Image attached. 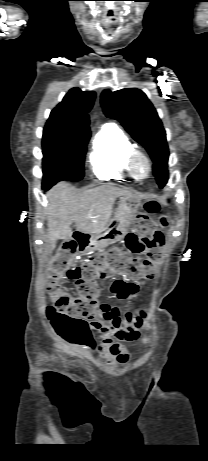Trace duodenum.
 Wrapping results in <instances>:
<instances>
[{
	"label": "duodenum",
	"instance_id": "410a0bca",
	"mask_svg": "<svg viewBox=\"0 0 208 461\" xmlns=\"http://www.w3.org/2000/svg\"><path fill=\"white\" fill-rule=\"evenodd\" d=\"M84 238H85V239H87V238H88V236H87V235H85V236H84Z\"/></svg>",
	"mask_w": 208,
	"mask_h": 461
}]
</instances>
